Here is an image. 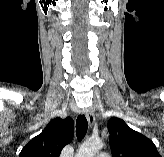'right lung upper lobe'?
<instances>
[{
	"instance_id": "right-lung-upper-lobe-1",
	"label": "right lung upper lobe",
	"mask_w": 164,
	"mask_h": 157,
	"mask_svg": "<svg viewBox=\"0 0 164 157\" xmlns=\"http://www.w3.org/2000/svg\"><path fill=\"white\" fill-rule=\"evenodd\" d=\"M73 133L74 121L70 117L56 118L22 149L19 157H60L63 147L71 142Z\"/></svg>"
}]
</instances>
